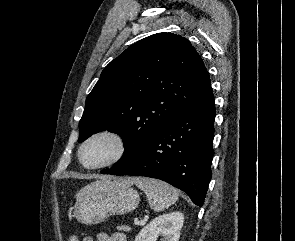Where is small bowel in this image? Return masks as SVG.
Wrapping results in <instances>:
<instances>
[{"instance_id": "c3829d8e", "label": "small bowel", "mask_w": 295, "mask_h": 241, "mask_svg": "<svg viewBox=\"0 0 295 241\" xmlns=\"http://www.w3.org/2000/svg\"><path fill=\"white\" fill-rule=\"evenodd\" d=\"M69 241V240H68ZM85 241H93L91 238L85 239ZM98 241H125L124 238L120 235L107 236L106 234H100Z\"/></svg>"}]
</instances>
